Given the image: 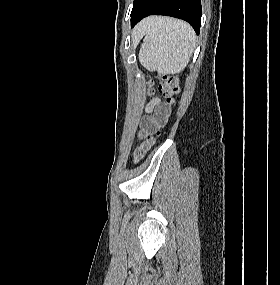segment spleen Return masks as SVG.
<instances>
[{"label": "spleen", "mask_w": 280, "mask_h": 285, "mask_svg": "<svg viewBox=\"0 0 280 285\" xmlns=\"http://www.w3.org/2000/svg\"><path fill=\"white\" fill-rule=\"evenodd\" d=\"M140 30L145 38L138 57L147 70L171 74L187 65L196 41L194 30L188 23L168 17H152Z\"/></svg>", "instance_id": "obj_1"}]
</instances>
